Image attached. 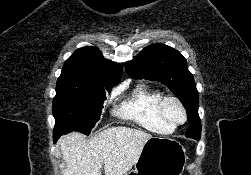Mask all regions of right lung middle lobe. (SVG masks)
Instances as JSON below:
<instances>
[{
  "mask_svg": "<svg viewBox=\"0 0 251 175\" xmlns=\"http://www.w3.org/2000/svg\"><path fill=\"white\" fill-rule=\"evenodd\" d=\"M112 88L57 82L53 100L54 134L71 131L88 135L100 119L103 102Z\"/></svg>",
  "mask_w": 251,
  "mask_h": 175,
  "instance_id": "obj_1",
  "label": "right lung middle lobe"
}]
</instances>
